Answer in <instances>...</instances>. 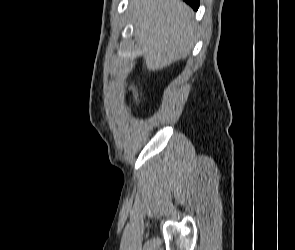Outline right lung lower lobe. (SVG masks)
I'll list each match as a JSON object with an SVG mask.
<instances>
[{"instance_id": "98d812e1", "label": "right lung lower lobe", "mask_w": 295, "mask_h": 250, "mask_svg": "<svg viewBox=\"0 0 295 250\" xmlns=\"http://www.w3.org/2000/svg\"><path fill=\"white\" fill-rule=\"evenodd\" d=\"M184 1L190 4V6H192L194 10H198L199 0H184Z\"/></svg>"}]
</instances>
